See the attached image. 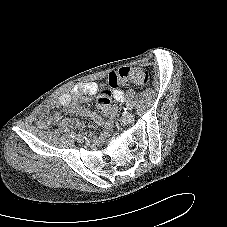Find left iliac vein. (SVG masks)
I'll use <instances>...</instances> for the list:
<instances>
[{"instance_id": "left-iliac-vein-1", "label": "left iliac vein", "mask_w": 227, "mask_h": 227, "mask_svg": "<svg viewBox=\"0 0 227 227\" xmlns=\"http://www.w3.org/2000/svg\"><path fill=\"white\" fill-rule=\"evenodd\" d=\"M134 120V116L132 113H126L123 115V117L121 118V122L123 124H129L132 123Z\"/></svg>"}]
</instances>
